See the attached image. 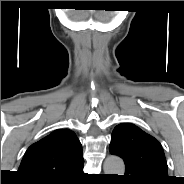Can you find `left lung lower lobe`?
I'll return each instance as SVG.
<instances>
[{
    "mask_svg": "<svg viewBox=\"0 0 184 184\" xmlns=\"http://www.w3.org/2000/svg\"><path fill=\"white\" fill-rule=\"evenodd\" d=\"M130 184H135V183H132V182H129Z\"/></svg>",
    "mask_w": 184,
    "mask_h": 184,
    "instance_id": "left-lung-lower-lobe-1",
    "label": "left lung lower lobe"
}]
</instances>
